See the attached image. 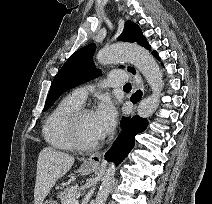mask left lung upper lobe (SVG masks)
Returning a JSON list of instances; mask_svg holds the SVG:
<instances>
[{
    "label": "left lung upper lobe",
    "mask_w": 212,
    "mask_h": 204,
    "mask_svg": "<svg viewBox=\"0 0 212 204\" xmlns=\"http://www.w3.org/2000/svg\"><path fill=\"white\" fill-rule=\"evenodd\" d=\"M118 40L124 42H137L150 50V46L145 37L142 36L141 29L132 21H126L124 30L118 37ZM95 49V44H89L70 56L56 74L51 84L44 110H47L66 90L85 83L100 74V70L95 68L92 60ZM154 53L155 52H153V54ZM128 70L135 73V70L131 67H129Z\"/></svg>",
    "instance_id": "obj_1"
}]
</instances>
